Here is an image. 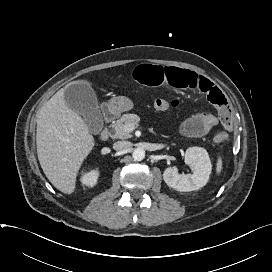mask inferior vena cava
<instances>
[{"label":"inferior vena cava","instance_id":"602c4592","mask_svg":"<svg viewBox=\"0 0 272 272\" xmlns=\"http://www.w3.org/2000/svg\"><path fill=\"white\" fill-rule=\"evenodd\" d=\"M131 147V142L129 141H117L113 144V149L116 151L126 150Z\"/></svg>","mask_w":272,"mask_h":272}]
</instances>
